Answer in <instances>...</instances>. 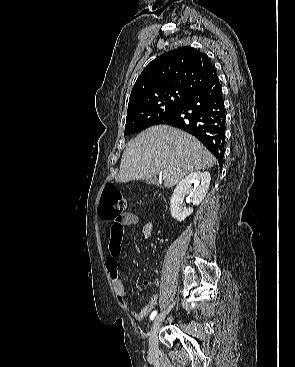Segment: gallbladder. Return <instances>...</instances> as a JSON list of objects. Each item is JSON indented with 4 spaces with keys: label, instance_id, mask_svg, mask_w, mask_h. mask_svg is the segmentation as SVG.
Returning <instances> with one entry per match:
<instances>
[{
    "label": "gallbladder",
    "instance_id": "bac80fb5",
    "mask_svg": "<svg viewBox=\"0 0 295 367\" xmlns=\"http://www.w3.org/2000/svg\"><path fill=\"white\" fill-rule=\"evenodd\" d=\"M146 183L147 184H156L157 180L156 179H149V180H146Z\"/></svg>",
    "mask_w": 295,
    "mask_h": 367
}]
</instances>
